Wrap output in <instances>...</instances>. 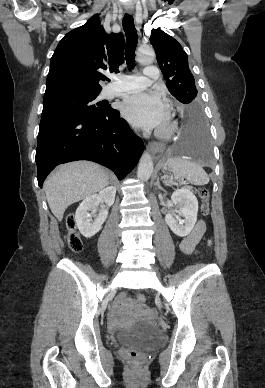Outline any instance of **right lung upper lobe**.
Listing matches in <instances>:
<instances>
[{"instance_id":"obj_1","label":"right lung upper lobe","mask_w":265,"mask_h":388,"mask_svg":"<svg viewBox=\"0 0 265 388\" xmlns=\"http://www.w3.org/2000/svg\"><path fill=\"white\" fill-rule=\"evenodd\" d=\"M124 60V36L108 35L100 25L99 15L65 35L50 62L45 97L99 93L103 71L118 73Z\"/></svg>"}]
</instances>
